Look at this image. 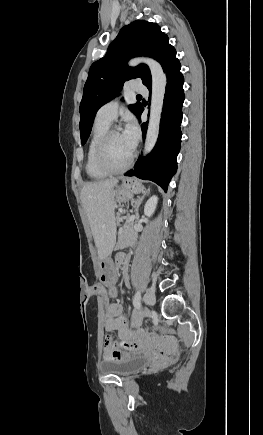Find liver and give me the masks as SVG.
Listing matches in <instances>:
<instances>
[{"label": "liver", "mask_w": 263, "mask_h": 435, "mask_svg": "<svg viewBox=\"0 0 263 435\" xmlns=\"http://www.w3.org/2000/svg\"><path fill=\"white\" fill-rule=\"evenodd\" d=\"M117 183V178L90 182L81 191V201L101 260L112 253L115 245L114 187Z\"/></svg>", "instance_id": "1"}]
</instances>
